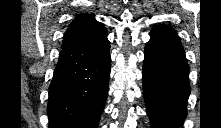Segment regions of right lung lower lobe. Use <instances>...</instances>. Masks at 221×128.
<instances>
[{"label":"right lung lower lobe","mask_w":221,"mask_h":128,"mask_svg":"<svg viewBox=\"0 0 221 128\" xmlns=\"http://www.w3.org/2000/svg\"><path fill=\"white\" fill-rule=\"evenodd\" d=\"M110 44L64 47L49 86V128H98L108 93Z\"/></svg>","instance_id":"98d812e1"}]
</instances>
